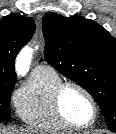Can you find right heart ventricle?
<instances>
[{"mask_svg":"<svg viewBox=\"0 0 116 134\" xmlns=\"http://www.w3.org/2000/svg\"><path fill=\"white\" fill-rule=\"evenodd\" d=\"M61 82L62 78L51 67L34 70L27 88L16 100L17 112L23 122L44 131L70 130L59 120L53 107V92Z\"/></svg>","mask_w":116,"mask_h":134,"instance_id":"e07e8e85","label":"right heart ventricle"}]
</instances>
